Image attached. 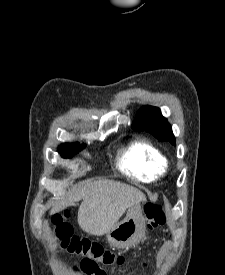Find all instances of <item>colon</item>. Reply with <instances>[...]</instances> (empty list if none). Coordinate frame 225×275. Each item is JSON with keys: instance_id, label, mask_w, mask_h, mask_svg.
Masks as SVG:
<instances>
[{"instance_id": "colon-1", "label": "colon", "mask_w": 225, "mask_h": 275, "mask_svg": "<svg viewBox=\"0 0 225 275\" xmlns=\"http://www.w3.org/2000/svg\"><path fill=\"white\" fill-rule=\"evenodd\" d=\"M147 226L154 230L166 222V216L162 206L157 202H150L145 206ZM53 235L60 242L62 248L71 254L83 255L80 268L88 275H99L98 263L103 265H122L125 258L110 250L104 249L99 243L88 238H80L73 234L71 226L61 216L52 220Z\"/></svg>"}]
</instances>
